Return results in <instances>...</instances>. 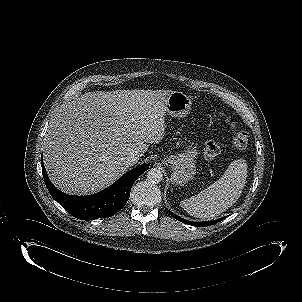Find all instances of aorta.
<instances>
[{
    "mask_svg": "<svg viewBox=\"0 0 302 302\" xmlns=\"http://www.w3.org/2000/svg\"><path fill=\"white\" fill-rule=\"evenodd\" d=\"M147 180L151 183H159L163 180V174L161 172V170L157 169V168H151L148 172H147Z\"/></svg>",
    "mask_w": 302,
    "mask_h": 302,
    "instance_id": "762f6f07",
    "label": "aorta"
}]
</instances>
